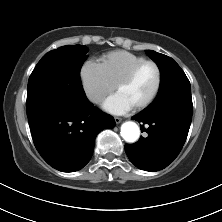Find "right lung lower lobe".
<instances>
[{
  "label": "right lung lower lobe",
  "mask_w": 222,
  "mask_h": 222,
  "mask_svg": "<svg viewBox=\"0 0 222 222\" xmlns=\"http://www.w3.org/2000/svg\"><path fill=\"white\" fill-rule=\"evenodd\" d=\"M27 117L36 149L50 166L62 172L87 165L98 132L115 126L113 117L88 99L72 107L37 106L27 109Z\"/></svg>",
  "instance_id": "1"
}]
</instances>
